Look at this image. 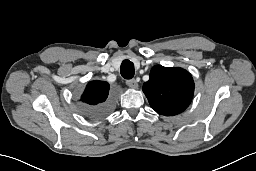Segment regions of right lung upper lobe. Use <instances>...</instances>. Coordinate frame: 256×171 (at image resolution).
I'll list each match as a JSON object with an SVG mask.
<instances>
[{
    "mask_svg": "<svg viewBox=\"0 0 256 171\" xmlns=\"http://www.w3.org/2000/svg\"><path fill=\"white\" fill-rule=\"evenodd\" d=\"M109 84L105 81H91L87 84L80 101L85 108L94 107L106 102L109 97Z\"/></svg>",
    "mask_w": 256,
    "mask_h": 171,
    "instance_id": "right-lung-upper-lobe-1",
    "label": "right lung upper lobe"
}]
</instances>
